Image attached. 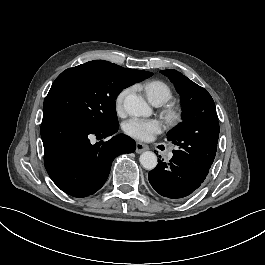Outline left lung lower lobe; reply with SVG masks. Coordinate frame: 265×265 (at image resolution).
<instances>
[{
    "label": "left lung lower lobe",
    "mask_w": 265,
    "mask_h": 265,
    "mask_svg": "<svg viewBox=\"0 0 265 265\" xmlns=\"http://www.w3.org/2000/svg\"><path fill=\"white\" fill-rule=\"evenodd\" d=\"M207 175L182 158L173 156L169 163L160 160L156 168L149 172L148 179L161 196L182 200L198 189Z\"/></svg>",
    "instance_id": "1"
}]
</instances>
